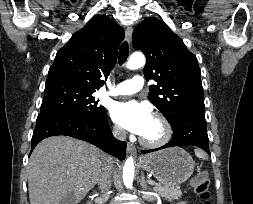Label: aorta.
Wrapping results in <instances>:
<instances>
[{
  "instance_id": "aorta-1",
  "label": "aorta",
  "mask_w": 253,
  "mask_h": 204,
  "mask_svg": "<svg viewBox=\"0 0 253 204\" xmlns=\"http://www.w3.org/2000/svg\"><path fill=\"white\" fill-rule=\"evenodd\" d=\"M144 64H145V56L140 52H135L130 56L126 66L128 69H138L142 67ZM134 169L135 166L133 158L129 157L126 160L123 168V182L127 188L132 187L134 178Z\"/></svg>"
}]
</instances>
